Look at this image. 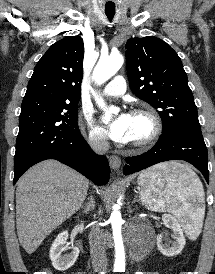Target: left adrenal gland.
<instances>
[{
  "label": "left adrenal gland",
  "mask_w": 215,
  "mask_h": 274,
  "mask_svg": "<svg viewBox=\"0 0 215 274\" xmlns=\"http://www.w3.org/2000/svg\"><path fill=\"white\" fill-rule=\"evenodd\" d=\"M138 200H137V195H135V198H134V200H133V202L132 203H135V202H137Z\"/></svg>",
  "instance_id": "1"
}]
</instances>
